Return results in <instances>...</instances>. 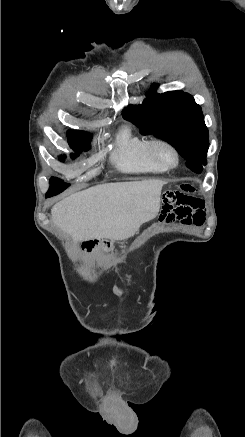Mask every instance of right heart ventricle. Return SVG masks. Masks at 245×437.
I'll list each match as a JSON object with an SVG mask.
<instances>
[{
    "instance_id": "1",
    "label": "right heart ventricle",
    "mask_w": 245,
    "mask_h": 437,
    "mask_svg": "<svg viewBox=\"0 0 245 437\" xmlns=\"http://www.w3.org/2000/svg\"><path fill=\"white\" fill-rule=\"evenodd\" d=\"M147 140L138 136L130 126L121 127L115 138L111 158L113 164L126 173H161L167 168L148 153Z\"/></svg>"
}]
</instances>
